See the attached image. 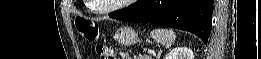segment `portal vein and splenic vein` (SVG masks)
I'll list each match as a JSON object with an SVG mask.
<instances>
[{
  "instance_id": "obj_1",
  "label": "portal vein and splenic vein",
  "mask_w": 261,
  "mask_h": 59,
  "mask_svg": "<svg viewBox=\"0 0 261 59\" xmlns=\"http://www.w3.org/2000/svg\"><path fill=\"white\" fill-rule=\"evenodd\" d=\"M149 53H151V54H155V52H154L153 50H150Z\"/></svg>"
}]
</instances>
